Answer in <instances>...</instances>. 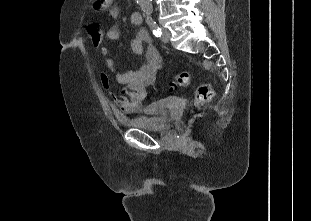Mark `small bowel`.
Wrapping results in <instances>:
<instances>
[{
	"mask_svg": "<svg viewBox=\"0 0 311 221\" xmlns=\"http://www.w3.org/2000/svg\"><path fill=\"white\" fill-rule=\"evenodd\" d=\"M109 13L112 18H117L120 15V7L117 5L111 6ZM142 20L140 13L134 12L131 15V23L134 26H140ZM119 37V28L115 25L111 26L107 31V38L110 41H116ZM131 49L137 55H144L145 62L137 69L130 71L117 69L114 60L108 57V47L103 46L100 49L101 55L105 57V67L115 72L116 82L123 86L117 91L114 90L108 75L101 73V84L108 92L112 106L121 116L139 113L142 110V101L147 95L148 87L155 83L157 72L162 66V58L145 30H140L136 34Z\"/></svg>",
	"mask_w": 311,
	"mask_h": 221,
	"instance_id": "1",
	"label": "small bowel"
}]
</instances>
